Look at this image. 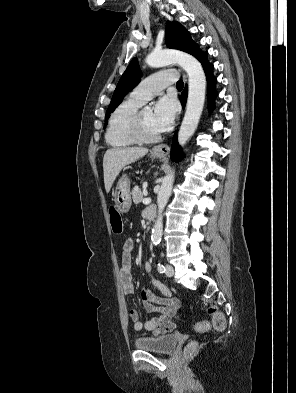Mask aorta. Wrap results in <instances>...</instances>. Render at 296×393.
Returning a JSON list of instances; mask_svg holds the SVG:
<instances>
[{
	"label": "aorta",
	"instance_id": "1",
	"mask_svg": "<svg viewBox=\"0 0 296 393\" xmlns=\"http://www.w3.org/2000/svg\"><path fill=\"white\" fill-rule=\"evenodd\" d=\"M148 66L153 68L164 67L173 63H178L188 75V99L186 111L178 132V142L184 146L195 132L205 101L206 77L200 62L190 54L175 51L161 50L154 51L146 58ZM145 110H150L145 107ZM174 182V172L165 176L162 180L160 190L157 195L158 216L152 229L151 240L158 243L163 232V211L171 195Z\"/></svg>",
	"mask_w": 296,
	"mask_h": 393
}]
</instances>
